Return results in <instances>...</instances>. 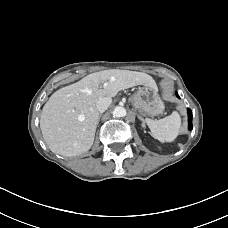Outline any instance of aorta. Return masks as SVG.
Returning a JSON list of instances; mask_svg holds the SVG:
<instances>
[{"label": "aorta", "mask_w": 228, "mask_h": 228, "mask_svg": "<svg viewBox=\"0 0 228 228\" xmlns=\"http://www.w3.org/2000/svg\"><path fill=\"white\" fill-rule=\"evenodd\" d=\"M126 114H127L126 109L123 107H116L113 110L114 117H124V116H126Z\"/></svg>", "instance_id": "aorta-1"}]
</instances>
